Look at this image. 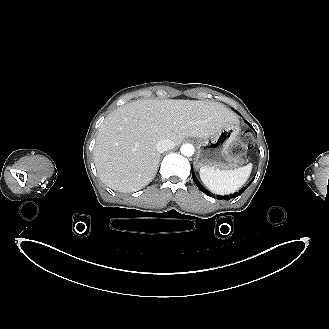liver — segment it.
Returning <instances> with one entry per match:
<instances>
[{
    "label": "liver",
    "instance_id": "6515ba94",
    "mask_svg": "<svg viewBox=\"0 0 329 329\" xmlns=\"http://www.w3.org/2000/svg\"><path fill=\"white\" fill-rule=\"evenodd\" d=\"M236 114L216 101L137 100L118 107L102 123L94 148L100 179L120 192H134L156 175L159 140L209 138Z\"/></svg>",
    "mask_w": 329,
    "mask_h": 329
}]
</instances>
